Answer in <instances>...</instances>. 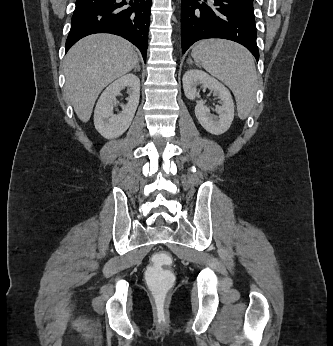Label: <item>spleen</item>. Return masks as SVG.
<instances>
[{
  "label": "spleen",
  "mask_w": 333,
  "mask_h": 346,
  "mask_svg": "<svg viewBox=\"0 0 333 346\" xmlns=\"http://www.w3.org/2000/svg\"><path fill=\"white\" fill-rule=\"evenodd\" d=\"M191 55L207 72L232 90L238 116L246 119L255 103L258 83L251 53L232 41L207 39L199 41Z\"/></svg>",
  "instance_id": "1"
}]
</instances>
